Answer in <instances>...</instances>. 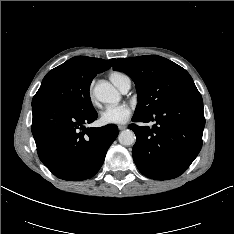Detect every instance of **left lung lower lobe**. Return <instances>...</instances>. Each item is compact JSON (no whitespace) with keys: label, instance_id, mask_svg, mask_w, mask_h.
<instances>
[{"label":"left lung lower lobe","instance_id":"obj_1","mask_svg":"<svg viewBox=\"0 0 234 234\" xmlns=\"http://www.w3.org/2000/svg\"><path fill=\"white\" fill-rule=\"evenodd\" d=\"M132 121L156 122L152 128L128 126L136 135L132 150L134 162L151 179L180 176L201 150L205 118L199 92L176 99L152 114L133 117Z\"/></svg>","mask_w":234,"mask_h":234}]
</instances>
